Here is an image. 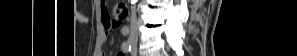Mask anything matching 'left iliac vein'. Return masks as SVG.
I'll use <instances>...</instances> for the list:
<instances>
[{"label": "left iliac vein", "mask_w": 297, "mask_h": 56, "mask_svg": "<svg viewBox=\"0 0 297 56\" xmlns=\"http://www.w3.org/2000/svg\"><path fill=\"white\" fill-rule=\"evenodd\" d=\"M136 53H137V46L136 44H132V54L136 55Z\"/></svg>", "instance_id": "4c4485c4"}]
</instances>
